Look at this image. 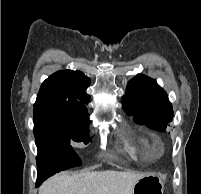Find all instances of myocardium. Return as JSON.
<instances>
[{
  "instance_id": "obj_1",
  "label": "myocardium",
  "mask_w": 201,
  "mask_h": 194,
  "mask_svg": "<svg viewBox=\"0 0 201 194\" xmlns=\"http://www.w3.org/2000/svg\"><path fill=\"white\" fill-rule=\"evenodd\" d=\"M153 150L157 153H161L164 150V146L161 142H157L153 145Z\"/></svg>"
}]
</instances>
